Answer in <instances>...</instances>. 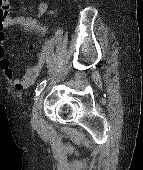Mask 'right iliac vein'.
Instances as JSON below:
<instances>
[{
    "instance_id": "right-iliac-vein-1",
    "label": "right iliac vein",
    "mask_w": 143,
    "mask_h": 170,
    "mask_svg": "<svg viewBox=\"0 0 143 170\" xmlns=\"http://www.w3.org/2000/svg\"><path fill=\"white\" fill-rule=\"evenodd\" d=\"M43 98H44V92L39 94L34 104V112H33L32 121L35 126H39L41 124L40 112L42 109Z\"/></svg>"
}]
</instances>
